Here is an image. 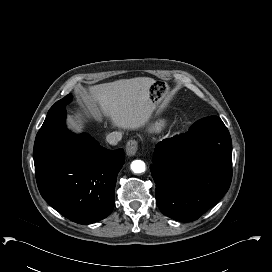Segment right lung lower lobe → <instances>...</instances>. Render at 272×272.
Listing matches in <instances>:
<instances>
[{"label":"right lung lower lobe","mask_w":272,"mask_h":272,"mask_svg":"<svg viewBox=\"0 0 272 272\" xmlns=\"http://www.w3.org/2000/svg\"><path fill=\"white\" fill-rule=\"evenodd\" d=\"M65 117V105L49 110L36 136L37 185L47 203L64 217L79 224L94 223L113 210L124 151L107 150L86 133H71Z\"/></svg>","instance_id":"98d812e1"}]
</instances>
